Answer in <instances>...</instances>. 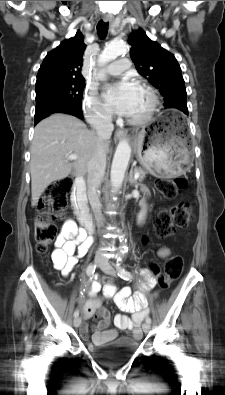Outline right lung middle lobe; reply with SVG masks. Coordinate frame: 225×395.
I'll use <instances>...</instances> for the list:
<instances>
[{"instance_id": "1", "label": "right lung middle lobe", "mask_w": 225, "mask_h": 395, "mask_svg": "<svg viewBox=\"0 0 225 395\" xmlns=\"http://www.w3.org/2000/svg\"><path fill=\"white\" fill-rule=\"evenodd\" d=\"M85 80L51 81L36 85L35 116L60 104H81Z\"/></svg>"}]
</instances>
